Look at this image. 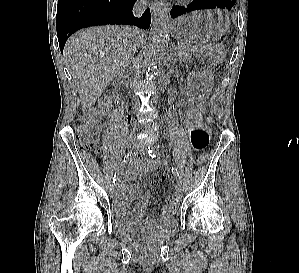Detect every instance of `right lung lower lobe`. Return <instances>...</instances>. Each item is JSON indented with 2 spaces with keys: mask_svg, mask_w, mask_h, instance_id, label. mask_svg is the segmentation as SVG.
Segmentation results:
<instances>
[{
  "mask_svg": "<svg viewBox=\"0 0 299 273\" xmlns=\"http://www.w3.org/2000/svg\"><path fill=\"white\" fill-rule=\"evenodd\" d=\"M136 0H58L56 29L61 52L71 34L96 25L127 24L148 29L151 14L147 9L141 18L132 13Z\"/></svg>",
  "mask_w": 299,
  "mask_h": 273,
  "instance_id": "1",
  "label": "right lung lower lobe"
}]
</instances>
